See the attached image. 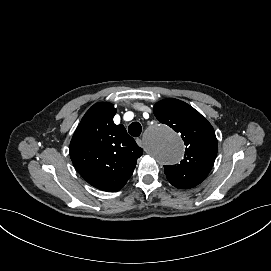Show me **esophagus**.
Returning a JSON list of instances; mask_svg holds the SVG:
<instances>
[{
  "label": "esophagus",
  "instance_id": "34e87169",
  "mask_svg": "<svg viewBox=\"0 0 271 271\" xmlns=\"http://www.w3.org/2000/svg\"><path fill=\"white\" fill-rule=\"evenodd\" d=\"M145 141V136L143 134H138L136 136V142L139 146H142V143Z\"/></svg>",
  "mask_w": 271,
  "mask_h": 271
}]
</instances>
